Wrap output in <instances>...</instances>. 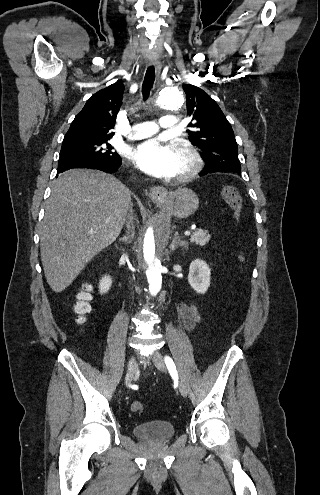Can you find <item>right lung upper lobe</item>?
<instances>
[{
    "instance_id": "1",
    "label": "right lung upper lobe",
    "mask_w": 320,
    "mask_h": 495,
    "mask_svg": "<svg viewBox=\"0 0 320 495\" xmlns=\"http://www.w3.org/2000/svg\"><path fill=\"white\" fill-rule=\"evenodd\" d=\"M124 86L116 82L92 95L77 114L64 140L110 139L120 110Z\"/></svg>"
}]
</instances>
